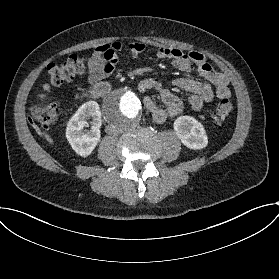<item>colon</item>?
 <instances>
[{
  "label": "colon",
  "mask_w": 279,
  "mask_h": 279,
  "mask_svg": "<svg viewBox=\"0 0 279 279\" xmlns=\"http://www.w3.org/2000/svg\"><path fill=\"white\" fill-rule=\"evenodd\" d=\"M87 66V59L77 55L68 56L59 63H52L48 66V75L53 85H61L66 80L82 74ZM30 116L43 127H50L55 123L58 113L56 103L50 101L45 93H39L31 101ZM232 103L228 98L221 99L216 104L214 122L225 121L232 112Z\"/></svg>",
  "instance_id": "colon-1"
}]
</instances>
